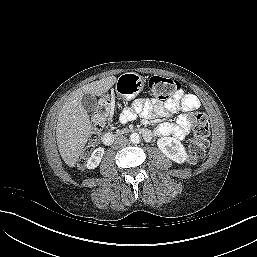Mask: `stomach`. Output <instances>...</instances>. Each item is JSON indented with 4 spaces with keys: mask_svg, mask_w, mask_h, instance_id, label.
<instances>
[{
    "mask_svg": "<svg viewBox=\"0 0 257 257\" xmlns=\"http://www.w3.org/2000/svg\"><path fill=\"white\" fill-rule=\"evenodd\" d=\"M144 82V78L137 73H124L116 81V92L122 98L131 100L143 90Z\"/></svg>",
    "mask_w": 257,
    "mask_h": 257,
    "instance_id": "0dacf381",
    "label": "stomach"
}]
</instances>
